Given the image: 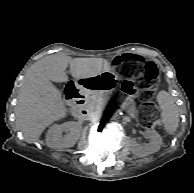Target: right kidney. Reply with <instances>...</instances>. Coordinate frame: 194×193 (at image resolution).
Listing matches in <instances>:
<instances>
[{"label": "right kidney", "instance_id": "1", "mask_svg": "<svg viewBox=\"0 0 194 193\" xmlns=\"http://www.w3.org/2000/svg\"><path fill=\"white\" fill-rule=\"evenodd\" d=\"M63 132H66L64 136L62 135ZM77 133L78 127L74 122L53 125L46 134V144L53 149L72 147L78 139Z\"/></svg>", "mask_w": 194, "mask_h": 193}]
</instances>
